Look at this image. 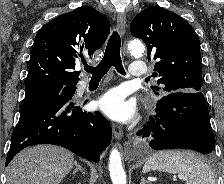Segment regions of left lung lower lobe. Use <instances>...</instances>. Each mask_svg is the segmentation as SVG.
Here are the masks:
<instances>
[{"mask_svg":"<svg viewBox=\"0 0 224 184\" xmlns=\"http://www.w3.org/2000/svg\"><path fill=\"white\" fill-rule=\"evenodd\" d=\"M156 115L137 135L152 136V149H191L209 154L215 149V137L209 111L201 92H175L160 98Z\"/></svg>","mask_w":224,"mask_h":184,"instance_id":"1","label":"left lung lower lobe"}]
</instances>
